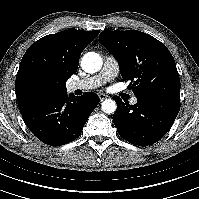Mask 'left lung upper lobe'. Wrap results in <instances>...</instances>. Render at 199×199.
<instances>
[{
  "mask_svg": "<svg viewBox=\"0 0 199 199\" xmlns=\"http://www.w3.org/2000/svg\"><path fill=\"white\" fill-rule=\"evenodd\" d=\"M99 42L117 59L136 97L180 103L176 64L163 43L137 30L102 31Z\"/></svg>",
  "mask_w": 199,
  "mask_h": 199,
  "instance_id": "1",
  "label": "left lung upper lobe"
}]
</instances>
